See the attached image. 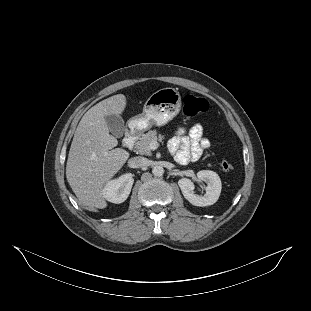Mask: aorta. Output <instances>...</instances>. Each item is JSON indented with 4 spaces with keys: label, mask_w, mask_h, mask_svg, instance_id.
Masks as SVG:
<instances>
[{
    "label": "aorta",
    "mask_w": 311,
    "mask_h": 311,
    "mask_svg": "<svg viewBox=\"0 0 311 311\" xmlns=\"http://www.w3.org/2000/svg\"><path fill=\"white\" fill-rule=\"evenodd\" d=\"M152 173L154 176L160 177L164 174V168L160 165H156L153 167Z\"/></svg>",
    "instance_id": "1"
}]
</instances>
